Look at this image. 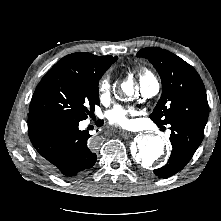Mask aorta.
<instances>
[{"mask_svg": "<svg viewBox=\"0 0 221 221\" xmlns=\"http://www.w3.org/2000/svg\"><path fill=\"white\" fill-rule=\"evenodd\" d=\"M125 94L132 96L134 94L133 83L127 81L121 85ZM165 154V141L159 136L145 135L136 140V150L134 152L135 161L147 168L154 165L156 161Z\"/></svg>", "mask_w": 221, "mask_h": 221, "instance_id": "obj_1", "label": "aorta"}]
</instances>
